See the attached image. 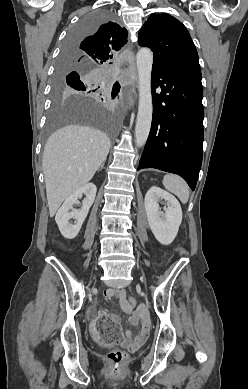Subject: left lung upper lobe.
Here are the masks:
<instances>
[{"instance_id": "5c2ea615", "label": "left lung upper lobe", "mask_w": 248, "mask_h": 389, "mask_svg": "<svg viewBox=\"0 0 248 389\" xmlns=\"http://www.w3.org/2000/svg\"><path fill=\"white\" fill-rule=\"evenodd\" d=\"M139 45L153 51V65H199L196 47L185 26L167 13L152 14L139 32Z\"/></svg>"}]
</instances>
